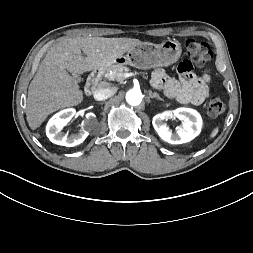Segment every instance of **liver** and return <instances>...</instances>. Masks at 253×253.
Listing matches in <instances>:
<instances>
[{
    "label": "liver",
    "instance_id": "liver-1",
    "mask_svg": "<svg viewBox=\"0 0 253 253\" xmlns=\"http://www.w3.org/2000/svg\"><path fill=\"white\" fill-rule=\"evenodd\" d=\"M141 43L133 38L78 37L64 38L53 45L29 85L26 105L29 127L35 130L49 114L83 101L75 75L105 69Z\"/></svg>",
    "mask_w": 253,
    "mask_h": 253
}]
</instances>
